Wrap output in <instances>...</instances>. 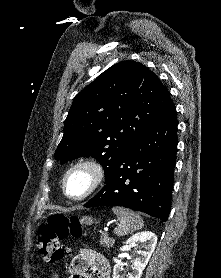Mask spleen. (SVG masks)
<instances>
[{
  "mask_svg": "<svg viewBox=\"0 0 221 278\" xmlns=\"http://www.w3.org/2000/svg\"><path fill=\"white\" fill-rule=\"evenodd\" d=\"M112 211L120 221V224L114 229V233L117 236L127 235L142 229L144 226L142 218L129 209L123 207H113Z\"/></svg>",
  "mask_w": 221,
  "mask_h": 278,
  "instance_id": "3e777b00",
  "label": "spleen"
}]
</instances>
